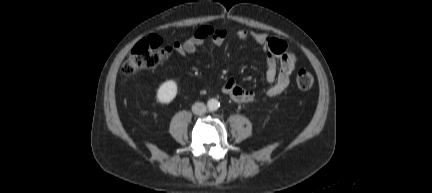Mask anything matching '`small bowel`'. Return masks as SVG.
I'll use <instances>...</instances> for the list:
<instances>
[{"label":"small bowel","mask_w":432,"mask_h":193,"mask_svg":"<svg viewBox=\"0 0 432 193\" xmlns=\"http://www.w3.org/2000/svg\"><path fill=\"white\" fill-rule=\"evenodd\" d=\"M225 35L223 30H214L209 26H203L184 42H174L173 49L182 55L193 54L207 42L216 46L221 45ZM236 35L241 41L252 39L267 53L265 76L269 87L266 90V95L273 97L284 92L289 86L290 76L297 61L295 53L288 49L287 43L280 38L246 29L237 30ZM223 93L240 103L253 101L256 97L253 91L239 86L233 79L226 81L223 86Z\"/></svg>","instance_id":"small-bowel-1"}]
</instances>
